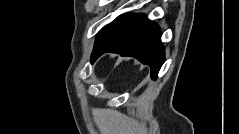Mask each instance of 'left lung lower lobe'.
<instances>
[{"mask_svg":"<svg viewBox=\"0 0 239 134\" xmlns=\"http://www.w3.org/2000/svg\"><path fill=\"white\" fill-rule=\"evenodd\" d=\"M106 52L135 57L151 68V77L157 78L164 63V47L160 30L142 14H123L105 26L97 35L91 63Z\"/></svg>","mask_w":239,"mask_h":134,"instance_id":"1","label":"left lung lower lobe"}]
</instances>
